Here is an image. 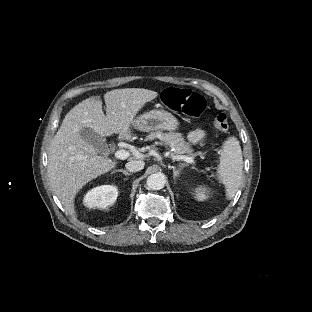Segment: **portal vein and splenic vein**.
Wrapping results in <instances>:
<instances>
[{
  "label": "portal vein and splenic vein",
  "instance_id": "portal-vein-and-splenic-vein-1",
  "mask_svg": "<svg viewBox=\"0 0 312 312\" xmlns=\"http://www.w3.org/2000/svg\"><path fill=\"white\" fill-rule=\"evenodd\" d=\"M173 160L177 161H185L187 163H194V160L192 157H188L186 155H171ZM115 157L120 159V160H125L129 157V152L126 150H118L115 152Z\"/></svg>",
  "mask_w": 312,
  "mask_h": 312
}]
</instances>
